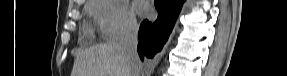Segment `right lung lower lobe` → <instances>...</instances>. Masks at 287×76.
I'll use <instances>...</instances> for the list:
<instances>
[{"mask_svg":"<svg viewBox=\"0 0 287 76\" xmlns=\"http://www.w3.org/2000/svg\"><path fill=\"white\" fill-rule=\"evenodd\" d=\"M184 0H155L154 4L158 10V18L155 22L145 20L139 29L138 54L141 60L153 58L159 52L169 34L180 12Z\"/></svg>","mask_w":287,"mask_h":76,"instance_id":"obj_1","label":"right lung lower lobe"}]
</instances>
